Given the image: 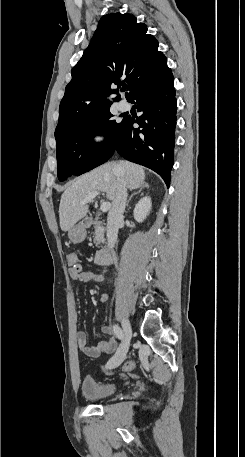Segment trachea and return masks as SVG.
<instances>
[{
  "label": "trachea",
  "instance_id": "1",
  "mask_svg": "<svg viewBox=\"0 0 245 457\" xmlns=\"http://www.w3.org/2000/svg\"><path fill=\"white\" fill-rule=\"evenodd\" d=\"M122 90H123V91H125V90H126V87H125V88H123Z\"/></svg>",
  "mask_w": 245,
  "mask_h": 457
}]
</instances>
